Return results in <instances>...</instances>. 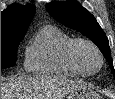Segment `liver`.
<instances>
[{
	"mask_svg": "<svg viewBox=\"0 0 115 99\" xmlns=\"http://www.w3.org/2000/svg\"><path fill=\"white\" fill-rule=\"evenodd\" d=\"M82 87L62 77H14L1 80V99H62Z\"/></svg>",
	"mask_w": 115,
	"mask_h": 99,
	"instance_id": "1",
	"label": "liver"
}]
</instances>
